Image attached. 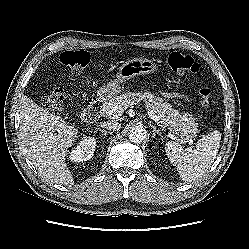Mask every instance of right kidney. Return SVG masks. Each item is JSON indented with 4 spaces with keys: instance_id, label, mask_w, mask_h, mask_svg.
<instances>
[{
    "instance_id": "obj_1",
    "label": "right kidney",
    "mask_w": 249,
    "mask_h": 249,
    "mask_svg": "<svg viewBox=\"0 0 249 249\" xmlns=\"http://www.w3.org/2000/svg\"><path fill=\"white\" fill-rule=\"evenodd\" d=\"M95 148L96 139L94 137L85 136L70 152L69 159L75 163L87 161L93 157Z\"/></svg>"
}]
</instances>
